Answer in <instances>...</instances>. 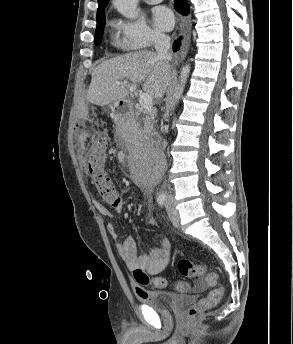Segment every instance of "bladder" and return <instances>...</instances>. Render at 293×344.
<instances>
[{"mask_svg": "<svg viewBox=\"0 0 293 344\" xmlns=\"http://www.w3.org/2000/svg\"><path fill=\"white\" fill-rule=\"evenodd\" d=\"M187 299L186 296L172 291L157 290H146L144 296L141 297L142 303L160 311H169Z\"/></svg>", "mask_w": 293, "mask_h": 344, "instance_id": "31cf9c89", "label": "bladder"}]
</instances>
